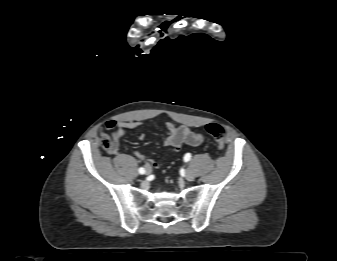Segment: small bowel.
Segmentation results:
<instances>
[{"label":"small bowel","mask_w":337,"mask_h":261,"mask_svg":"<svg viewBox=\"0 0 337 261\" xmlns=\"http://www.w3.org/2000/svg\"><path fill=\"white\" fill-rule=\"evenodd\" d=\"M142 123L140 121H117L109 120L105 124V128L108 131L113 132V146L110 150L112 153H117L119 151V140L127 133L129 130L136 129L140 127ZM166 130L168 136L164 140V146L170 150L176 151L181 148L182 145L198 146L203 142V136L199 132H194L186 126L180 125L176 126L173 123H166ZM145 135H140V139H144ZM135 156L140 160H145L146 156L143 151L136 150L134 152ZM160 163L156 160L149 159L145 163V168L152 170L153 168H158Z\"/></svg>","instance_id":"1"}]
</instances>
